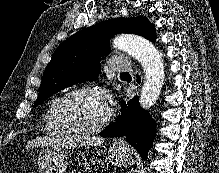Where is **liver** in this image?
<instances>
[{
	"label": "liver",
	"instance_id": "1",
	"mask_svg": "<svg viewBox=\"0 0 219 173\" xmlns=\"http://www.w3.org/2000/svg\"><path fill=\"white\" fill-rule=\"evenodd\" d=\"M62 142V143H61ZM104 142L103 138L100 137H85V138H65L63 140H54L51 138H36L32 141H29L26 149H30L33 147H46L48 145H58L62 147H77L78 145H99Z\"/></svg>",
	"mask_w": 219,
	"mask_h": 173
}]
</instances>
